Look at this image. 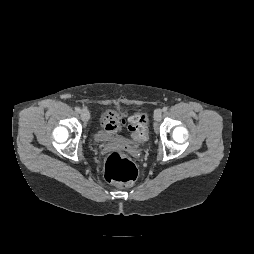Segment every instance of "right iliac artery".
<instances>
[{
	"instance_id": "right-iliac-artery-1",
	"label": "right iliac artery",
	"mask_w": 254,
	"mask_h": 254,
	"mask_svg": "<svg viewBox=\"0 0 254 254\" xmlns=\"http://www.w3.org/2000/svg\"><path fill=\"white\" fill-rule=\"evenodd\" d=\"M75 111H76L77 113H80L81 110H80L79 107H76V108H75Z\"/></svg>"
}]
</instances>
